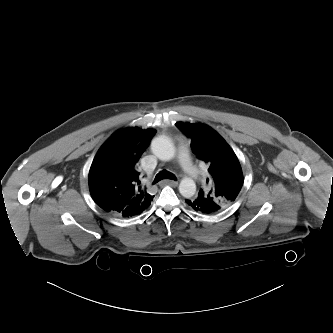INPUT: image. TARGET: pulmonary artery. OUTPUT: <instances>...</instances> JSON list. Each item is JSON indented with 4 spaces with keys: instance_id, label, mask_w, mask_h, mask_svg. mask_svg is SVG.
<instances>
[{
    "instance_id": "1",
    "label": "pulmonary artery",
    "mask_w": 333,
    "mask_h": 333,
    "mask_svg": "<svg viewBox=\"0 0 333 333\" xmlns=\"http://www.w3.org/2000/svg\"><path fill=\"white\" fill-rule=\"evenodd\" d=\"M178 159L186 173H188L193 179L199 178L198 172L192 165L188 151L184 146H181L178 150Z\"/></svg>"
}]
</instances>
